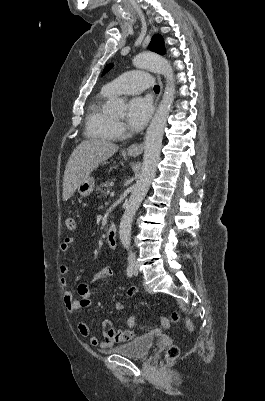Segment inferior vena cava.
I'll return each instance as SVG.
<instances>
[{
	"instance_id": "obj_1",
	"label": "inferior vena cava",
	"mask_w": 265,
	"mask_h": 401,
	"mask_svg": "<svg viewBox=\"0 0 265 401\" xmlns=\"http://www.w3.org/2000/svg\"><path fill=\"white\" fill-rule=\"evenodd\" d=\"M129 259L131 261V259H135V253H129Z\"/></svg>"
}]
</instances>
